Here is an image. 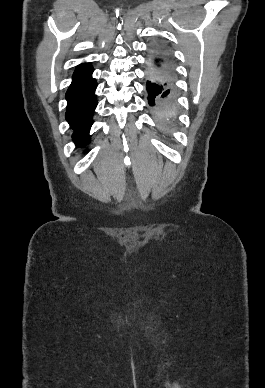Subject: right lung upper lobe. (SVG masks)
<instances>
[{"label":"right lung upper lobe","instance_id":"obj_1","mask_svg":"<svg viewBox=\"0 0 265 388\" xmlns=\"http://www.w3.org/2000/svg\"><path fill=\"white\" fill-rule=\"evenodd\" d=\"M93 72V67L91 66L90 63H82L77 66L74 74H73V79H79V78H84L89 75H91Z\"/></svg>","mask_w":265,"mask_h":388}]
</instances>
